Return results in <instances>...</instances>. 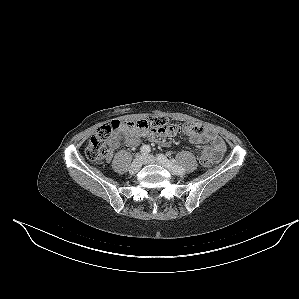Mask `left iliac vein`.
<instances>
[{
	"label": "left iliac vein",
	"instance_id": "obj_1",
	"mask_svg": "<svg viewBox=\"0 0 299 299\" xmlns=\"http://www.w3.org/2000/svg\"><path fill=\"white\" fill-rule=\"evenodd\" d=\"M143 163L144 164H159V165H162L163 167L167 168L169 171H171L174 174V172L171 169H169L163 162L158 160L153 155H144L143 156Z\"/></svg>",
	"mask_w": 299,
	"mask_h": 299
}]
</instances>
